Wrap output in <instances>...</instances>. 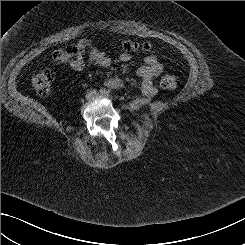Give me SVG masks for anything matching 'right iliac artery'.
<instances>
[{
    "instance_id": "1",
    "label": "right iliac artery",
    "mask_w": 245,
    "mask_h": 245,
    "mask_svg": "<svg viewBox=\"0 0 245 245\" xmlns=\"http://www.w3.org/2000/svg\"><path fill=\"white\" fill-rule=\"evenodd\" d=\"M106 92H107V91H106L105 89H103V88L100 89V93H101V94H105Z\"/></svg>"
}]
</instances>
